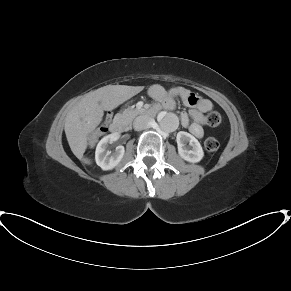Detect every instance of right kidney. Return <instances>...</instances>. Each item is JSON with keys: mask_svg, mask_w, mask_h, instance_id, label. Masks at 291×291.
<instances>
[{"mask_svg": "<svg viewBox=\"0 0 291 291\" xmlns=\"http://www.w3.org/2000/svg\"><path fill=\"white\" fill-rule=\"evenodd\" d=\"M119 137L118 134H109L103 137L95 151V160L102 170H111L119 164L124 156V146H117L114 152L107 150L110 143L114 142Z\"/></svg>", "mask_w": 291, "mask_h": 291, "instance_id": "right-kidney-1", "label": "right kidney"}]
</instances>
